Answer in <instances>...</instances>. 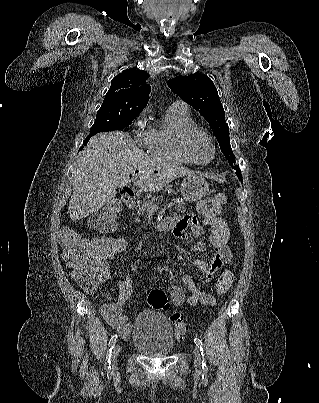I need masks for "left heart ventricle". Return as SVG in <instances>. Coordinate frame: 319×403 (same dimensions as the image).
Listing matches in <instances>:
<instances>
[{"mask_svg":"<svg viewBox=\"0 0 319 403\" xmlns=\"http://www.w3.org/2000/svg\"><path fill=\"white\" fill-rule=\"evenodd\" d=\"M181 136L182 134L180 135V139ZM191 149L195 157L200 161H209L212 158V146L203 135H196L192 139Z\"/></svg>","mask_w":319,"mask_h":403,"instance_id":"left-heart-ventricle-1","label":"left heart ventricle"}]
</instances>
